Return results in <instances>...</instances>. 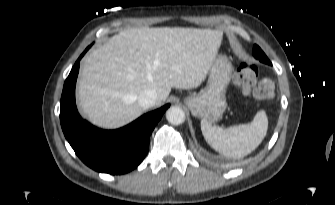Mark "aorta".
<instances>
[{"mask_svg": "<svg viewBox=\"0 0 335 205\" xmlns=\"http://www.w3.org/2000/svg\"><path fill=\"white\" fill-rule=\"evenodd\" d=\"M166 119L173 125H180L185 121V112L180 107H170L166 112Z\"/></svg>", "mask_w": 335, "mask_h": 205, "instance_id": "obj_1", "label": "aorta"}]
</instances>
